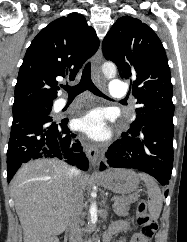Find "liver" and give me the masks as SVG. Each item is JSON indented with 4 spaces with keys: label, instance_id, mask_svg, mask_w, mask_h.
Masks as SVG:
<instances>
[{
    "label": "liver",
    "instance_id": "1",
    "mask_svg": "<svg viewBox=\"0 0 187 242\" xmlns=\"http://www.w3.org/2000/svg\"><path fill=\"white\" fill-rule=\"evenodd\" d=\"M70 167L58 159H38L23 165L11 181L15 209L24 242H45L69 226L72 204ZM84 190L88 176L76 179Z\"/></svg>",
    "mask_w": 187,
    "mask_h": 242
}]
</instances>
